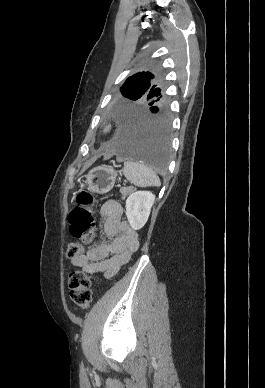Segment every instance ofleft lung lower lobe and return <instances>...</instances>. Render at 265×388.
I'll return each instance as SVG.
<instances>
[{
  "label": "left lung lower lobe",
  "instance_id": "0a47b994",
  "mask_svg": "<svg viewBox=\"0 0 265 388\" xmlns=\"http://www.w3.org/2000/svg\"><path fill=\"white\" fill-rule=\"evenodd\" d=\"M116 128L109 150L158 171L167 167L171 135L167 107L121 108L117 112Z\"/></svg>",
  "mask_w": 265,
  "mask_h": 388
}]
</instances>
